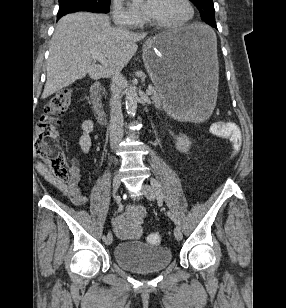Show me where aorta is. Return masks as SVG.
Segmentation results:
<instances>
[{
  "label": "aorta",
  "mask_w": 286,
  "mask_h": 308,
  "mask_svg": "<svg viewBox=\"0 0 286 308\" xmlns=\"http://www.w3.org/2000/svg\"><path fill=\"white\" fill-rule=\"evenodd\" d=\"M139 97L137 94V87L134 85H131L126 90V111L129 116H132L135 114L137 109V103H138Z\"/></svg>",
  "instance_id": "obj_1"
}]
</instances>
